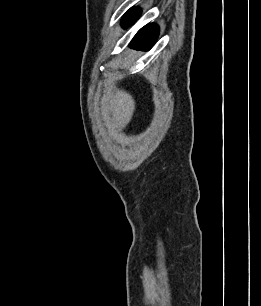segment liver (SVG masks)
Segmentation results:
<instances>
[{"label": "liver", "instance_id": "6515ba94", "mask_svg": "<svg viewBox=\"0 0 261 306\" xmlns=\"http://www.w3.org/2000/svg\"><path fill=\"white\" fill-rule=\"evenodd\" d=\"M104 100L108 106H102V116L110 131L125 128L131 121L135 110V101L126 91H117L115 95L108 93Z\"/></svg>", "mask_w": 261, "mask_h": 306}]
</instances>
